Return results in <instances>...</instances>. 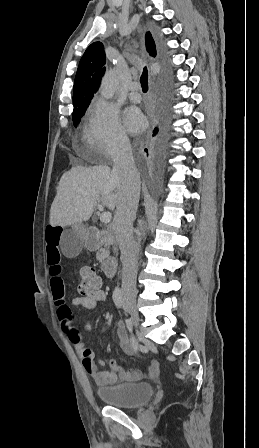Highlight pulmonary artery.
<instances>
[{"instance_id": "pulmonary-artery-1", "label": "pulmonary artery", "mask_w": 259, "mask_h": 448, "mask_svg": "<svg viewBox=\"0 0 259 448\" xmlns=\"http://www.w3.org/2000/svg\"><path fill=\"white\" fill-rule=\"evenodd\" d=\"M139 88V83L138 82H132L130 84V93H129V98L132 102H140L141 101V95L136 93L135 91Z\"/></svg>"}]
</instances>
